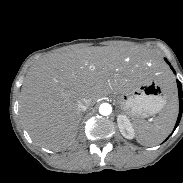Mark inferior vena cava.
<instances>
[{
  "instance_id": "obj_1",
  "label": "inferior vena cava",
  "mask_w": 183,
  "mask_h": 183,
  "mask_svg": "<svg viewBox=\"0 0 183 183\" xmlns=\"http://www.w3.org/2000/svg\"><path fill=\"white\" fill-rule=\"evenodd\" d=\"M78 108L81 111H86L89 108V104L84 99H81L78 101Z\"/></svg>"
}]
</instances>
